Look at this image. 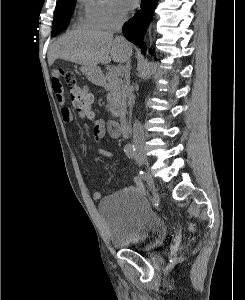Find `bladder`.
Segmentation results:
<instances>
[{"label": "bladder", "mask_w": 245, "mask_h": 300, "mask_svg": "<svg viewBox=\"0 0 245 300\" xmlns=\"http://www.w3.org/2000/svg\"><path fill=\"white\" fill-rule=\"evenodd\" d=\"M98 212L114 248L149 251L168 236L165 221L153 210L147 198L135 191L122 190L101 200Z\"/></svg>", "instance_id": "bladder-1"}]
</instances>
